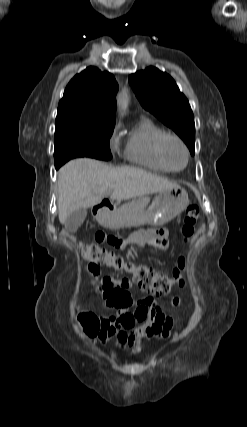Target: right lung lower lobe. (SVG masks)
<instances>
[{
    "mask_svg": "<svg viewBox=\"0 0 247 427\" xmlns=\"http://www.w3.org/2000/svg\"><path fill=\"white\" fill-rule=\"evenodd\" d=\"M61 165L55 164L56 169H58Z\"/></svg>",
    "mask_w": 247,
    "mask_h": 427,
    "instance_id": "obj_1",
    "label": "right lung lower lobe"
}]
</instances>
